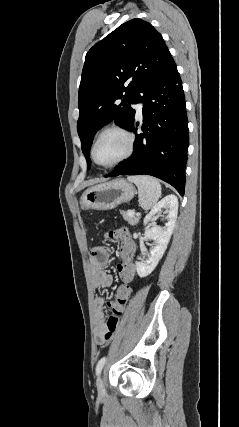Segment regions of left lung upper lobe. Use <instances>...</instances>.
<instances>
[{
	"mask_svg": "<svg viewBox=\"0 0 239 427\" xmlns=\"http://www.w3.org/2000/svg\"><path fill=\"white\" fill-rule=\"evenodd\" d=\"M173 64L161 34L141 19L125 22L88 51L77 123L88 169L95 133L113 119L128 128L136 115L132 105Z\"/></svg>",
	"mask_w": 239,
	"mask_h": 427,
	"instance_id": "5c2ea615",
	"label": "left lung upper lobe"
}]
</instances>
